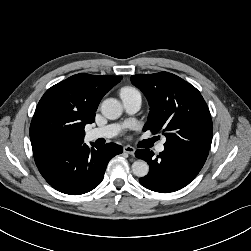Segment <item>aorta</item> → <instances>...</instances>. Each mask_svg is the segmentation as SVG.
<instances>
[{
	"label": "aorta",
	"instance_id": "obj_1",
	"mask_svg": "<svg viewBox=\"0 0 251 251\" xmlns=\"http://www.w3.org/2000/svg\"><path fill=\"white\" fill-rule=\"evenodd\" d=\"M101 112L106 118L115 120L122 115L123 107L117 99L108 98L102 102ZM132 172L137 177H145L149 172V166L145 161L137 160L132 164Z\"/></svg>",
	"mask_w": 251,
	"mask_h": 251
}]
</instances>
